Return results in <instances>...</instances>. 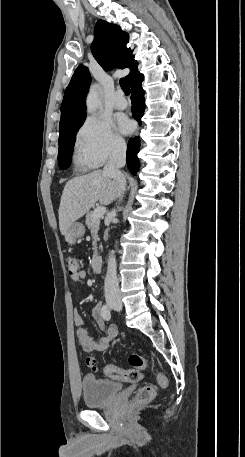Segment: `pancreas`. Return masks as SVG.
Wrapping results in <instances>:
<instances>
[{
    "instance_id": "obj_1",
    "label": "pancreas",
    "mask_w": 245,
    "mask_h": 457,
    "mask_svg": "<svg viewBox=\"0 0 245 457\" xmlns=\"http://www.w3.org/2000/svg\"><path fill=\"white\" fill-rule=\"evenodd\" d=\"M92 214H93V210H91V212H87L85 222L88 226V229H90V231H91V237L93 239V243H92L93 255H97V253H98L97 241H99L98 231H99V224H100L101 218H97V216H92Z\"/></svg>"
}]
</instances>
